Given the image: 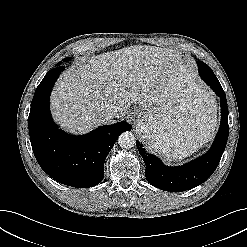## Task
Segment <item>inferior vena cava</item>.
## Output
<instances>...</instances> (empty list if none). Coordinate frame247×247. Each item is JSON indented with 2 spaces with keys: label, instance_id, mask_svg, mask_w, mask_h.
<instances>
[{
  "label": "inferior vena cava",
  "instance_id": "602c4592",
  "mask_svg": "<svg viewBox=\"0 0 247 247\" xmlns=\"http://www.w3.org/2000/svg\"><path fill=\"white\" fill-rule=\"evenodd\" d=\"M102 117L106 120L113 119L119 115L118 108L114 105H106L101 113Z\"/></svg>",
  "mask_w": 247,
  "mask_h": 247
}]
</instances>
